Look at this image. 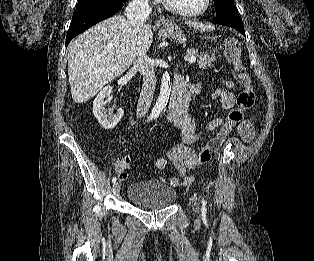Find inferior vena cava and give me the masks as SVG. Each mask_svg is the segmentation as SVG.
<instances>
[{
	"label": "inferior vena cava",
	"instance_id": "obj_1",
	"mask_svg": "<svg viewBox=\"0 0 314 261\" xmlns=\"http://www.w3.org/2000/svg\"><path fill=\"white\" fill-rule=\"evenodd\" d=\"M150 14L148 0H133L126 8V15L134 33H139ZM132 65L143 76V86L137 104L136 116L141 118L148 112L155 90V71L151 60L143 52L135 51Z\"/></svg>",
	"mask_w": 314,
	"mask_h": 261
}]
</instances>
